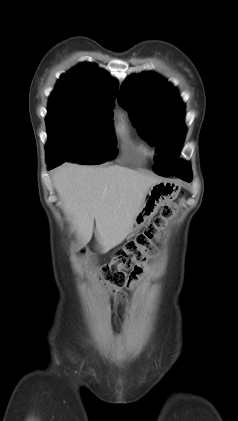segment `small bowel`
Listing matches in <instances>:
<instances>
[{"instance_id": "1", "label": "small bowel", "mask_w": 238, "mask_h": 421, "mask_svg": "<svg viewBox=\"0 0 238 421\" xmlns=\"http://www.w3.org/2000/svg\"><path fill=\"white\" fill-rule=\"evenodd\" d=\"M143 273V268L140 267L131 274V283L136 282Z\"/></svg>"}]
</instances>
